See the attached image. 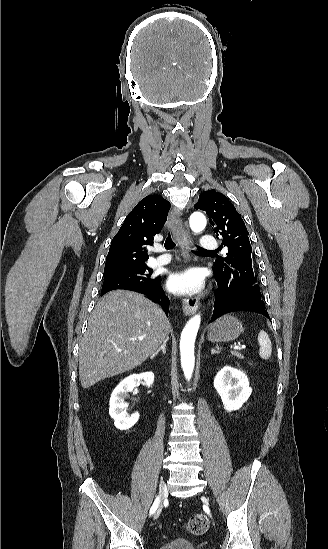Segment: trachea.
I'll return each mask as SVG.
<instances>
[{
  "mask_svg": "<svg viewBox=\"0 0 328 549\" xmlns=\"http://www.w3.org/2000/svg\"><path fill=\"white\" fill-rule=\"evenodd\" d=\"M175 245H176V244H175V242L172 240L171 234H170V232H169L168 237H167L166 240H165L164 247H165L167 250H170V249H173V248L175 247ZM196 248L199 249V250H205V249H201L200 247H197V246H196Z\"/></svg>",
  "mask_w": 328,
  "mask_h": 549,
  "instance_id": "3493384b",
  "label": "trachea"
}]
</instances>
